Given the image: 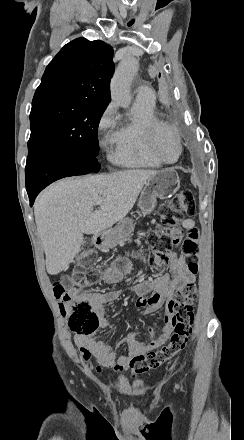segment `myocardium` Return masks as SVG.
<instances>
[{
    "label": "myocardium",
    "instance_id": "1",
    "mask_svg": "<svg viewBox=\"0 0 244 440\" xmlns=\"http://www.w3.org/2000/svg\"><path fill=\"white\" fill-rule=\"evenodd\" d=\"M168 124L165 122L164 124L162 122H154L149 128L151 130H154V132H150L148 135L150 136V140L152 141V143L150 144L152 147L150 148L152 150V152L155 154L156 158L164 164H174L178 161V159L181 156L182 153V138L180 133L173 127L171 126H167ZM164 132H171L176 136L177 139V151H176V156L174 159L172 160H167L165 159L160 152L157 150V146L159 145V140L161 139L159 137V133H164ZM155 136V137H154Z\"/></svg>",
    "mask_w": 244,
    "mask_h": 440
}]
</instances>
